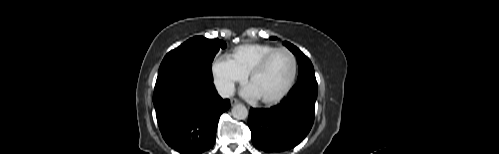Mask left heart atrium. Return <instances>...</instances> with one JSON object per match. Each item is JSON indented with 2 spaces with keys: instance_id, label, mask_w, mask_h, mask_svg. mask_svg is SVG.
<instances>
[{
  "instance_id": "left-heart-atrium-1",
  "label": "left heart atrium",
  "mask_w": 499,
  "mask_h": 154,
  "mask_svg": "<svg viewBox=\"0 0 499 154\" xmlns=\"http://www.w3.org/2000/svg\"><path fill=\"white\" fill-rule=\"evenodd\" d=\"M241 94L243 97L247 98V99H250V100H256V99H260L255 88L252 86L251 83L245 85L242 89H241Z\"/></svg>"
}]
</instances>
